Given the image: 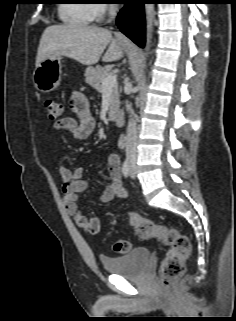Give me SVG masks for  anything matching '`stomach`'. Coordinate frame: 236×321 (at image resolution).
Wrapping results in <instances>:
<instances>
[{"label":"stomach","instance_id":"1","mask_svg":"<svg viewBox=\"0 0 236 321\" xmlns=\"http://www.w3.org/2000/svg\"><path fill=\"white\" fill-rule=\"evenodd\" d=\"M62 59L54 56L42 61L33 72V82L37 90L48 93L55 90L61 80Z\"/></svg>","mask_w":236,"mask_h":321}]
</instances>
